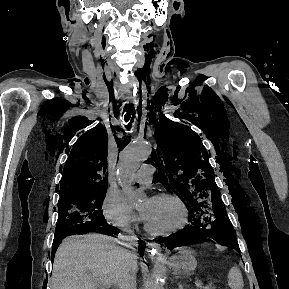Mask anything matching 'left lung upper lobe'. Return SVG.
Instances as JSON below:
<instances>
[{"label":"left lung upper lobe","mask_w":289,"mask_h":289,"mask_svg":"<svg viewBox=\"0 0 289 289\" xmlns=\"http://www.w3.org/2000/svg\"><path fill=\"white\" fill-rule=\"evenodd\" d=\"M155 138L150 161L158 166L162 184L188 203L191 220L215 225L217 242L239 248L232 240V224L219 214L224 204L200 137L188 126L164 118L157 124Z\"/></svg>","instance_id":"5c2ea615"}]
</instances>
